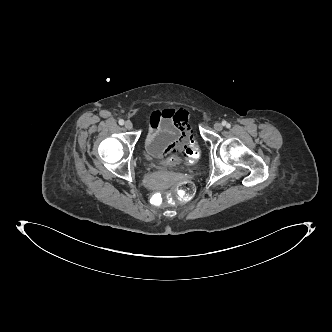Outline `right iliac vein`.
Here are the masks:
<instances>
[{
  "label": "right iliac vein",
  "instance_id": "1",
  "mask_svg": "<svg viewBox=\"0 0 332 332\" xmlns=\"http://www.w3.org/2000/svg\"><path fill=\"white\" fill-rule=\"evenodd\" d=\"M132 128H133L132 122L131 121H126L125 122V129L126 130H132Z\"/></svg>",
  "mask_w": 332,
  "mask_h": 332
}]
</instances>
